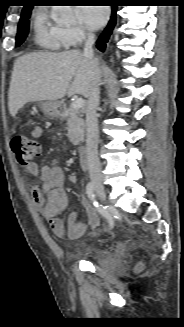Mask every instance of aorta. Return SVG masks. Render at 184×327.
Masks as SVG:
<instances>
[{"label":"aorta","mask_w":184,"mask_h":327,"mask_svg":"<svg viewBox=\"0 0 184 327\" xmlns=\"http://www.w3.org/2000/svg\"><path fill=\"white\" fill-rule=\"evenodd\" d=\"M66 16L72 18V14H71V13H69V14L66 15Z\"/></svg>","instance_id":"obj_1"}]
</instances>
